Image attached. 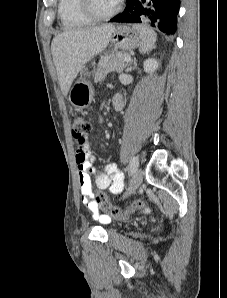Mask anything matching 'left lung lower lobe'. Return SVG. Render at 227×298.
I'll use <instances>...</instances> for the list:
<instances>
[{"label":"left lung lower lobe","mask_w":227,"mask_h":298,"mask_svg":"<svg viewBox=\"0 0 227 298\" xmlns=\"http://www.w3.org/2000/svg\"><path fill=\"white\" fill-rule=\"evenodd\" d=\"M180 0H127L125 10L111 22L147 23L162 32L174 34Z\"/></svg>","instance_id":"left-lung-lower-lobe-1"}]
</instances>
